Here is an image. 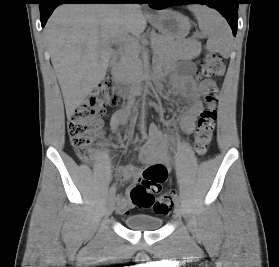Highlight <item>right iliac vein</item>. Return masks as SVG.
Instances as JSON below:
<instances>
[{
	"label": "right iliac vein",
	"instance_id": "right-iliac-vein-1",
	"mask_svg": "<svg viewBox=\"0 0 279 267\" xmlns=\"http://www.w3.org/2000/svg\"><path fill=\"white\" fill-rule=\"evenodd\" d=\"M115 206V199L114 197H110L107 203V208H106V215L109 216L112 214Z\"/></svg>",
	"mask_w": 279,
	"mask_h": 267
}]
</instances>
